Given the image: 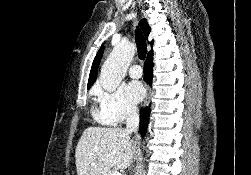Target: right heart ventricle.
Returning a JSON list of instances; mask_svg holds the SVG:
<instances>
[{"instance_id":"e07e8e85","label":"right heart ventricle","mask_w":251,"mask_h":175,"mask_svg":"<svg viewBox=\"0 0 251 175\" xmlns=\"http://www.w3.org/2000/svg\"><path fill=\"white\" fill-rule=\"evenodd\" d=\"M95 117H96V119H97L98 121H100V122L103 123V124L112 125V124L106 122V121L102 118V116H101L100 113H95Z\"/></svg>"}]
</instances>
